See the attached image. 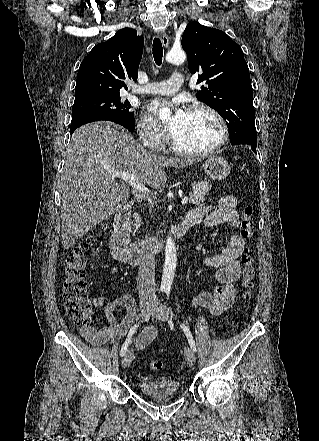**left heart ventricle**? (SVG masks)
<instances>
[{"mask_svg": "<svg viewBox=\"0 0 319 441\" xmlns=\"http://www.w3.org/2000/svg\"><path fill=\"white\" fill-rule=\"evenodd\" d=\"M172 136L182 148L198 151L208 149L218 142L220 128L207 112H187Z\"/></svg>", "mask_w": 319, "mask_h": 441, "instance_id": "left-heart-ventricle-1", "label": "left heart ventricle"}]
</instances>
